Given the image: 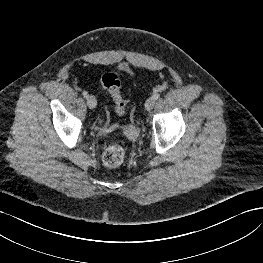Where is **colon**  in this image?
Returning a JSON list of instances; mask_svg holds the SVG:
<instances>
[{"label": "colon", "instance_id": "5ec220e1", "mask_svg": "<svg viewBox=\"0 0 263 263\" xmlns=\"http://www.w3.org/2000/svg\"><path fill=\"white\" fill-rule=\"evenodd\" d=\"M101 83L104 89L112 97L116 112L119 116L124 114L126 101L121 94V83L114 72H106L101 77ZM125 158L124 147L117 142L108 144L102 154L103 164L109 168L120 166Z\"/></svg>", "mask_w": 263, "mask_h": 263}]
</instances>
